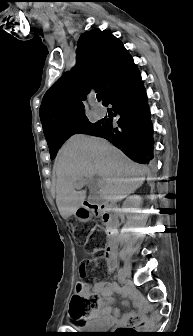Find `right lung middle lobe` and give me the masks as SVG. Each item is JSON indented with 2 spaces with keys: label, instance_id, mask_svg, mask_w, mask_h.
Wrapping results in <instances>:
<instances>
[{
  "label": "right lung middle lobe",
  "instance_id": "right-lung-middle-lobe-1",
  "mask_svg": "<svg viewBox=\"0 0 193 336\" xmlns=\"http://www.w3.org/2000/svg\"><path fill=\"white\" fill-rule=\"evenodd\" d=\"M103 123V120L96 123H91L86 117L78 120L69 130L66 132L56 135L47 141L50 150L51 159H54L56 153L62 146V144L72 135L77 133L92 134L94 131L98 130Z\"/></svg>",
  "mask_w": 193,
  "mask_h": 336
}]
</instances>
